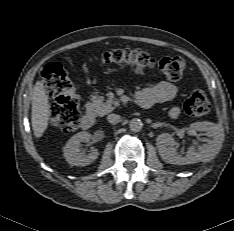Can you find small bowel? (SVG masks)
<instances>
[{"mask_svg":"<svg viewBox=\"0 0 234 231\" xmlns=\"http://www.w3.org/2000/svg\"><path fill=\"white\" fill-rule=\"evenodd\" d=\"M177 94V88L175 85L169 82H159L153 86L146 87L137 93L141 99H145L150 103V107L157 103H166L172 101ZM180 113L178 106H173L169 110V116L176 118Z\"/></svg>","mask_w":234,"mask_h":231,"instance_id":"c3829d8e","label":"small bowel"}]
</instances>
